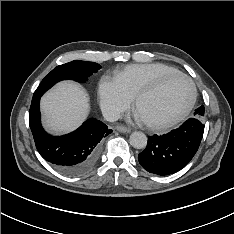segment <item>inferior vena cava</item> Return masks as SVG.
Here are the masks:
<instances>
[{
  "mask_svg": "<svg viewBox=\"0 0 234 234\" xmlns=\"http://www.w3.org/2000/svg\"><path fill=\"white\" fill-rule=\"evenodd\" d=\"M102 114L103 117L109 122L117 121L121 117L119 111L109 108L102 109Z\"/></svg>",
  "mask_w": 234,
  "mask_h": 234,
  "instance_id": "inferior-vena-cava-1",
  "label": "inferior vena cava"
}]
</instances>
